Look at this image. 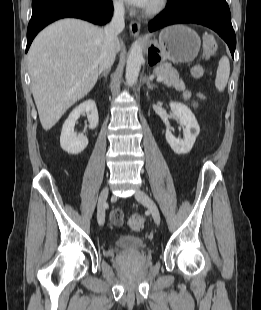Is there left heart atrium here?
Returning <instances> with one entry per match:
<instances>
[{"label":"left heart atrium","mask_w":261,"mask_h":310,"mask_svg":"<svg viewBox=\"0 0 261 310\" xmlns=\"http://www.w3.org/2000/svg\"><path fill=\"white\" fill-rule=\"evenodd\" d=\"M128 4L138 7V8H147L152 0H124Z\"/></svg>","instance_id":"left-heart-atrium-1"}]
</instances>
